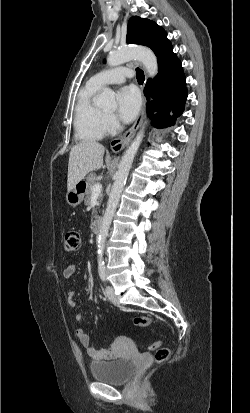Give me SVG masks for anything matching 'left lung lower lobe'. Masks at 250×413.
Listing matches in <instances>:
<instances>
[{
    "instance_id": "1",
    "label": "left lung lower lobe",
    "mask_w": 250,
    "mask_h": 413,
    "mask_svg": "<svg viewBox=\"0 0 250 413\" xmlns=\"http://www.w3.org/2000/svg\"><path fill=\"white\" fill-rule=\"evenodd\" d=\"M158 61V74L148 79L144 93L148 100L147 113L153 115L156 128H166L174 124L176 117L184 110L187 98L186 77L181 61L168 43L161 50H154ZM150 98L153 100L150 102ZM173 112V115H170Z\"/></svg>"
}]
</instances>
